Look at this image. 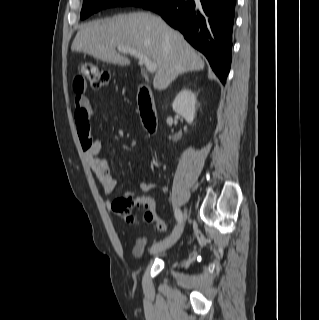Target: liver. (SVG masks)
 Returning <instances> with one entry per match:
<instances>
[{"label":"liver","instance_id":"liver-1","mask_svg":"<svg viewBox=\"0 0 319 320\" xmlns=\"http://www.w3.org/2000/svg\"><path fill=\"white\" fill-rule=\"evenodd\" d=\"M136 49L157 64L153 86L166 89L182 73L204 69V61L183 35L160 17L137 12L94 20L82 25L71 46L107 63L127 66L130 60L116 47Z\"/></svg>","mask_w":319,"mask_h":320}]
</instances>
